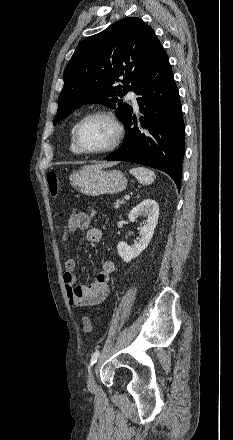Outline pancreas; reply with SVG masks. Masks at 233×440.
<instances>
[{
    "label": "pancreas",
    "instance_id": "pancreas-1",
    "mask_svg": "<svg viewBox=\"0 0 233 440\" xmlns=\"http://www.w3.org/2000/svg\"><path fill=\"white\" fill-rule=\"evenodd\" d=\"M121 204H124V201L117 200V201L114 203V208H116V209L119 208Z\"/></svg>",
    "mask_w": 233,
    "mask_h": 440
}]
</instances>
